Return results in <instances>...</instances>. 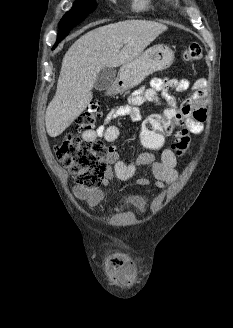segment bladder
I'll return each instance as SVG.
<instances>
[{"mask_svg":"<svg viewBox=\"0 0 233 328\" xmlns=\"http://www.w3.org/2000/svg\"><path fill=\"white\" fill-rule=\"evenodd\" d=\"M128 204L136 208H143L146 204V200L141 195H132L127 199Z\"/></svg>","mask_w":233,"mask_h":328,"instance_id":"1","label":"bladder"}]
</instances>
